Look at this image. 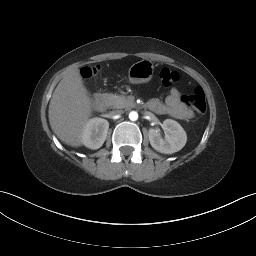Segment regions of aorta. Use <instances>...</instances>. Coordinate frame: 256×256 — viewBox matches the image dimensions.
<instances>
[{
	"label": "aorta",
	"instance_id": "obj_1",
	"mask_svg": "<svg viewBox=\"0 0 256 256\" xmlns=\"http://www.w3.org/2000/svg\"><path fill=\"white\" fill-rule=\"evenodd\" d=\"M129 119L131 121H136L138 119V113L136 111H131L129 113Z\"/></svg>",
	"mask_w": 256,
	"mask_h": 256
}]
</instances>
